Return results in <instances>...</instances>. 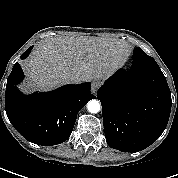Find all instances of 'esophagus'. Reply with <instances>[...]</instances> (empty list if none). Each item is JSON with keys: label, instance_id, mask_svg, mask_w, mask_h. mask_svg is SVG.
Listing matches in <instances>:
<instances>
[{"label": "esophagus", "instance_id": "esophagus-1", "mask_svg": "<svg viewBox=\"0 0 178 178\" xmlns=\"http://www.w3.org/2000/svg\"><path fill=\"white\" fill-rule=\"evenodd\" d=\"M101 86V83L100 81H93L92 82V85H91V92L93 94H96L97 93V90L99 89V87Z\"/></svg>", "mask_w": 178, "mask_h": 178}]
</instances>
